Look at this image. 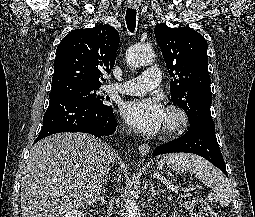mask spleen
Instances as JSON below:
<instances>
[{"label": "spleen", "instance_id": "1", "mask_svg": "<svg viewBox=\"0 0 255 217\" xmlns=\"http://www.w3.org/2000/svg\"><path fill=\"white\" fill-rule=\"evenodd\" d=\"M164 164L180 165L187 172L194 174L203 184L218 195L219 204L222 207H227L231 203L233 195L231 183L204 158L187 153L168 154L160 160L158 169L161 170Z\"/></svg>", "mask_w": 255, "mask_h": 217}]
</instances>
